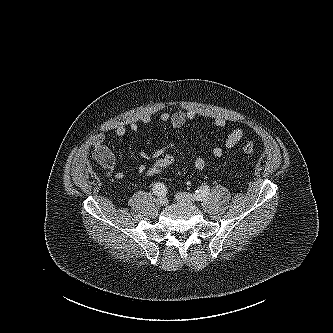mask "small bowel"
<instances>
[{
	"label": "small bowel",
	"instance_id": "obj_1",
	"mask_svg": "<svg viewBox=\"0 0 333 333\" xmlns=\"http://www.w3.org/2000/svg\"><path fill=\"white\" fill-rule=\"evenodd\" d=\"M196 118V113L193 111H175L173 113L170 112H162L160 114V120L164 124H170L174 129H181L188 121H192ZM145 122H149V120H145ZM226 125V121L222 117H217L214 119V126L217 128H223ZM128 129L132 132H136L138 130V125L136 123H132L129 127L125 125H118L115 128V135L117 137H123L126 135ZM244 132L241 128L233 129L229 135L224 140L223 146H215L212 149V154L214 157H221L224 153V149H233L235 148L242 140ZM105 135L103 133H98L93 137L92 146H93V158L94 160L105 169L106 176L113 177L117 180H121L124 177L123 172L115 171V156L114 153L104 144ZM173 145L169 144L165 147L159 148L154 152L150 153L148 151H142L140 153V157L143 160L149 161L154 160L161 155L169 152L172 149ZM206 161L202 156H197L194 160V167L196 170L201 171L205 168ZM146 165L141 164L138 166L137 171L140 174H145Z\"/></svg>",
	"mask_w": 333,
	"mask_h": 333
}]
</instances>
